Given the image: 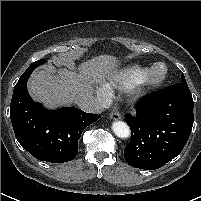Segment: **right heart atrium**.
<instances>
[{"mask_svg": "<svg viewBox=\"0 0 201 201\" xmlns=\"http://www.w3.org/2000/svg\"><path fill=\"white\" fill-rule=\"evenodd\" d=\"M98 97H99V99H100L101 101H105L106 98H107V94H106L105 91L99 90V91H98Z\"/></svg>", "mask_w": 201, "mask_h": 201, "instance_id": "d8ad5b80", "label": "right heart atrium"}]
</instances>
